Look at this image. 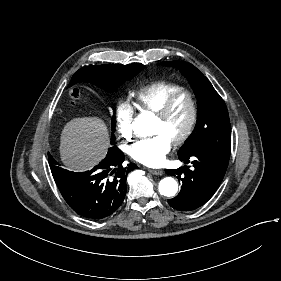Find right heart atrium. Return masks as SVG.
<instances>
[{
	"instance_id": "obj_1",
	"label": "right heart atrium",
	"mask_w": 281,
	"mask_h": 281,
	"mask_svg": "<svg viewBox=\"0 0 281 281\" xmlns=\"http://www.w3.org/2000/svg\"><path fill=\"white\" fill-rule=\"evenodd\" d=\"M117 131L124 140L123 150L128 151V142L139 136V127L134 121V110L125 100L120 99L115 108Z\"/></svg>"
}]
</instances>
